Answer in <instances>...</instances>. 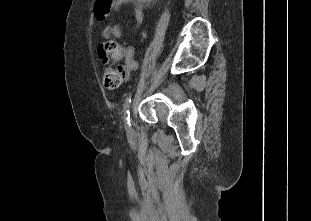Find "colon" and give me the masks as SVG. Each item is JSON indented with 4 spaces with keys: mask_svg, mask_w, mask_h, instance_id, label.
<instances>
[{
    "mask_svg": "<svg viewBox=\"0 0 311 221\" xmlns=\"http://www.w3.org/2000/svg\"><path fill=\"white\" fill-rule=\"evenodd\" d=\"M116 2L117 0L95 1L94 5L95 8H97V10L93 11L95 21L103 22L104 17H110L111 12H113L114 9L111 4H116ZM98 53L106 65L103 75L106 87H117L120 79L123 78L125 71L121 68L120 64H111V60L118 62L122 61L125 56V51L122 50L115 41L106 37L99 46Z\"/></svg>",
    "mask_w": 311,
    "mask_h": 221,
    "instance_id": "colon-1",
    "label": "colon"
}]
</instances>
